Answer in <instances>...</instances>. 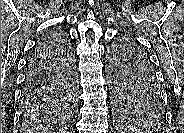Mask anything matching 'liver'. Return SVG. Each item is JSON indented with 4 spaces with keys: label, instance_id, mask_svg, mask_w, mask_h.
<instances>
[{
    "label": "liver",
    "instance_id": "1",
    "mask_svg": "<svg viewBox=\"0 0 184 133\" xmlns=\"http://www.w3.org/2000/svg\"><path fill=\"white\" fill-rule=\"evenodd\" d=\"M65 130H66V128H65ZM33 131L35 133H46V132L48 133L51 130H49V129L45 128V127L40 126V127H36Z\"/></svg>",
    "mask_w": 184,
    "mask_h": 133
}]
</instances>
